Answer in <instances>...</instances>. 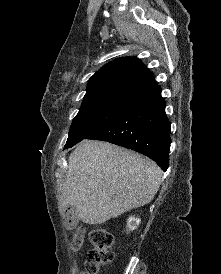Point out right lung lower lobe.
I'll return each instance as SVG.
<instances>
[{
	"label": "right lung lower lobe",
	"instance_id": "obj_1",
	"mask_svg": "<svg viewBox=\"0 0 221 274\" xmlns=\"http://www.w3.org/2000/svg\"><path fill=\"white\" fill-rule=\"evenodd\" d=\"M87 139L108 141L142 153L166 171L171 143L170 122L165 113L160 86L133 100Z\"/></svg>",
	"mask_w": 221,
	"mask_h": 274
}]
</instances>
